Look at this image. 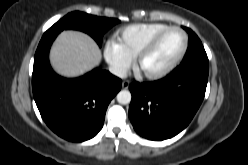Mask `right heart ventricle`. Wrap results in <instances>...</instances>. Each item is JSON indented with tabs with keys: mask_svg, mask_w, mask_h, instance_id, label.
<instances>
[{
	"mask_svg": "<svg viewBox=\"0 0 248 165\" xmlns=\"http://www.w3.org/2000/svg\"><path fill=\"white\" fill-rule=\"evenodd\" d=\"M166 27L167 25L163 23L131 24L117 32L116 42L132 59L155 33Z\"/></svg>",
	"mask_w": 248,
	"mask_h": 165,
	"instance_id": "right-heart-ventricle-1",
	"label": "right heart ventricle"
}]
</instances>
